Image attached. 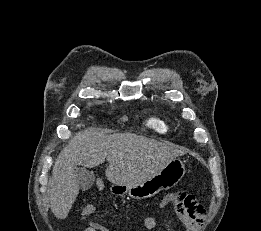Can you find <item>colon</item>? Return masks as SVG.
Wrapping results in <instances>:
<instances>
[{"label": "colon", "instance_id": "1", "mask_svg": "<svg viewBox=\"0 0 261 231\" xmlns=\"http://www.w3.org/2000/svg\"><path fill=\"white\" fill-rule=\"evenodd\" d=\"M169 201L180 219L200 224H203L206 221V211L194 195L177 191L170 194Z\"/></svg>", "mask_w": 261, "mask_h": 231}]
</instances>
